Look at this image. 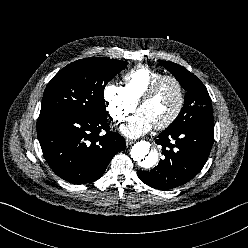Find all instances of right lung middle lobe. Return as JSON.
Here are the masks:
<instances>
[{
	"label": "right lung middle lobe",
	"instance_id": "obj_1",
	"mask_svg": "<svg viewBox=\"0 0 248 248\" xmlns=\"http://www.w3.org/2000/svg\"><path fill=\"white\" fill-rule=\"evenodd\" d=\"M126 65L125 61L104 57L86 58L70 63L48 83L41 112L107 118L104 88Z\"/></svg>",
	"mask_w": 248,
	"mask_h": 248
}]
</instances>
